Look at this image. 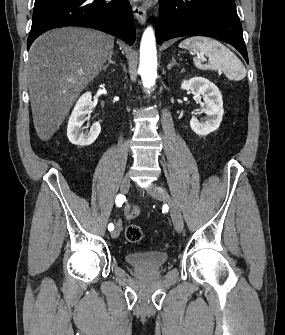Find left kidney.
I'll return each mask as SVG.
<instances>
[{"mask_svg": "<svg viewBox=\"0 0 285 335\" xmlns=\"http://www.w3.org/2000/svg\"><path fill=\"white\" fill-rule=\"evenodd\" d=\"M181 88L182 90H191L192 94H197L199 98H203V102L206 104V108L203 110L207 116L205 122H199L195 116H192L190 120L191 130L198 136H207V134L218 130L224 110L221 92H219L217 86L206 78H191V80H184Z\"/></svg>", "mask_w": 285, "mask_h": 335, "instance_id": "obj_1", "label": "left kidney"}]
</instances>
